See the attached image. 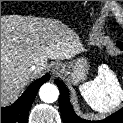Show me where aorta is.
<instances>
[{
  "mask_svg": "<svg viewBox=\"0 0 123 123\" xmlns=\"http://www.w3.org/2000/svg\"><path fill=\"white\" fill-rule=\"evenodd\" d=\"M39 96L43 102L53 103L58 99L59 91L55 85L46 83L41 86Z\"/></svg>",
  "mask_w": 123,
  "mask_h": 123,
  "instance_id": "obj_1",
  "label": "aorta"
}]
</instances>
